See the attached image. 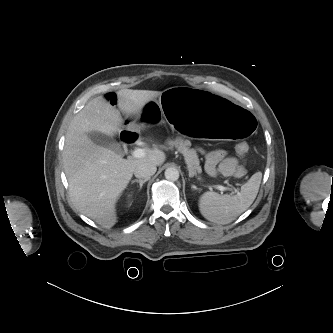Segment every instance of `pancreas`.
<instances>
[{"mask_svg": "<svg viewBox=\"0 0 333 333\" xmlns=\"http://www.w3.org/2000/svg\"><path fill=\"white\" fill-rule=\"evenodd\" d=\"M168 144L172 147H176L185 158L189 176H196L201 171L200 161L195 149H190L191 142L182 138H177L175 141L169 140Z\"/></svg>", "mask_w": 333, "mask_h": 333, "instance_id": "obj_1", "label": "pancreas"}]
</instances>
